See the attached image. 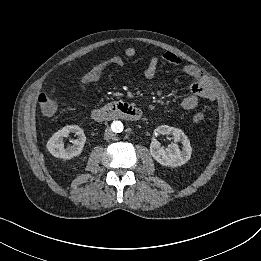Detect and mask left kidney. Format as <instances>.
Returning a JSON list of instances; mask_svg holds the SVG:
<instances>
[{
  "label": "left kidney",
  "instance_id": "1",
  "mask_svg": "<svg viewBox=\"0 0 261 261\" xmlns=\"http://www.w3.org/2000/svg\"><path fill=\"white\" fill-rule=\"evenodd\" d=\"M173 135L176 142L182 143V150L177 144L168 145L167 148L161 147L160 143L153 139L150 144V153L152 157L161 165L169 167H177L185 164L190 160L192 147L188 137L178 128L168 125H161L155 129V135Z\"/></svg>",
  "mask_w": 261,
  "mask_h": 261
}]
</instances>
